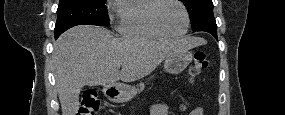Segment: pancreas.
<instances>
[{"label":"pancreas","mask_w":285,"mask_h":115,"mask_svg":"<svg viewBox=\"0 0 285 115\" xmlns=\"http://www.w3.org/2000/svg\"><path fill=\"white\" fill-rule=\"evenodd\" d=\"M137 89H134V91H135V93H137V92H141L143 89H144V83H140V84H138L137 85Z\"/></svg>","instance_id":"pancreas-1"}]
</instances>
